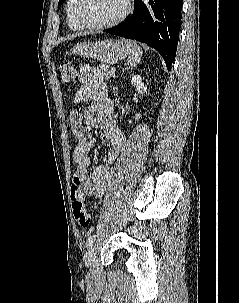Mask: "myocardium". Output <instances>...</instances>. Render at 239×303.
<instances>
[{"mask_svg":"<svg viewBox=\"0 0 239 303\" xmlns=\"http://www.w3.org/2000/svg\"><path fill=\"white\" fill-rule=\"evenodd\" d=\"M83 0H75V5H74V15L77 20V22L83 27L87 29H92V30H102V29H107L114 27L121 22H123L127 16L132 12L133 9V0H125V8L123 12L116 17L115 19L105 22V23H100V24H94L86 21L84 17L82 16L81 13V6H82Z\"/></svg>","mask_w":239,"mask_h":303,"instance_id":"f54148a6","label":"myocardium"}]
</instances>
